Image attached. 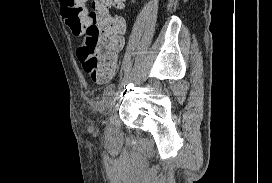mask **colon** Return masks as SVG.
Returning a JSON list of instances; mask_svg holds the SVG:
<instances>
[{"label":"colon","mask_w":272,"mask_h":183,"mask_svg":"<svg viewBox=\"0 0 272 183\" xmlns=\"http://www.w3.org/2000/svg\"><path fill=\"white\" fill-rule=\"evenodd\" d=\"M63 17L74 35L82 37L78 57L84 70L104 80L117 67L116 53L122 47L125 22L111 13L125 0H94L87 9V0H59Z\"/></svg>","instance_id":"1"}]
</instances>
